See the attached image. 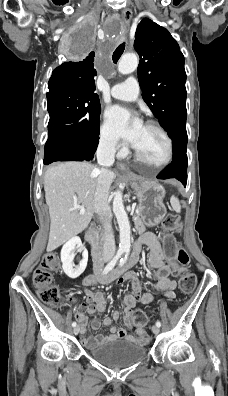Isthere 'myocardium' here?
Masks as SVG:
<instances>
[{"label": "myocardium", "mask_w": 228, "mask_h": 396, "mask_svg": "<svg viewBox=\"0 0 228 396\" xmlns=\"http://www.w3.org/2000/svg\"><path fill=\"white\" fill-rule=\"evenodd\" d=\"M145 126H148V127L158 130L164 136V138L166 139V141L168 143V155L163 162H161L159 164H153V163L149 162L147 159H145L134 146L133 148H134L135 157L137 158L138 161H140L141 163H143L144 165H147L149 167H152L155 169L163 168V167L167 166L173 159V156H174L173 140H172L171 136L169 135V133L157 122L149 120L145 123Z\"/></svg>", "instance_id": "1"}]
</instances>
